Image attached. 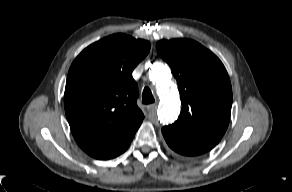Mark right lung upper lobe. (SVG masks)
<instances>
[{
  "instance_id": "right-lung-upper-lobe-1",
  "label": "right lung upper lobe",
  "mask_w": 292,
  "mask_h": 192,
  "mask_svg": "<svg viewBox=\"0 0 292 192\" xmlns=\"http://www.w3.org/2000/svg\"><path fill=\"white\" fill-rule=\"evenodd\" d=\"M149 50L148 41L114 34L77 56L68 72L64 105L78 144L113 141L139 128L144 115L132 71Z\"/></svg>"
}]
</instances>
